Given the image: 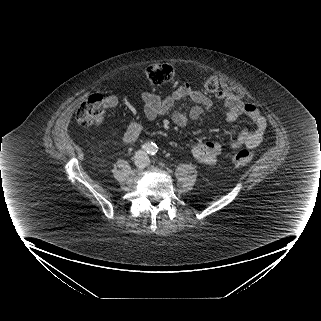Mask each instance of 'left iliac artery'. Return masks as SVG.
Listing matches in <instances>:
<instances>
[{"instance_id": "44dca946", "label": "left iliac artery", "mask_w": 321, "mask_h": 321, "mask_svg": "<svg viewBox=\"0 0 321 321\" xmlns=\"http://www.w3.org/2000/svg\"><path fill=\"white\" fill-rule=\"evenodd\" d=\"M156 152H157V146L156 145H154L153 147H152V150H151V154L152 155H154V154H156Z\"/></svg>"}]
</instances>
